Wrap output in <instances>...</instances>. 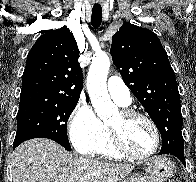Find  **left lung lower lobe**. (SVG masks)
Returning a JSON list of instances; mask_svg holds the SVG:
<instances>
[{
	"instance_id": "left-lung-lower-lobe-1",
	"label": "left lung lower lobe",
	"mask_w": 196,
	"mask_h": 182,
	"mask_svg": "<svg viewBox=\"0 0 196 182\" xmlns=\"http://www.w3.org/2000/svg\"><path fill=\"white\" fill-rule=\"evenodd\" d=\"M159 154H162L161 152ZM171 155H174L175 157H177L184 165L185 164V158H184V153H180V152H171Z\"/></svg>"
}]
</instances>
